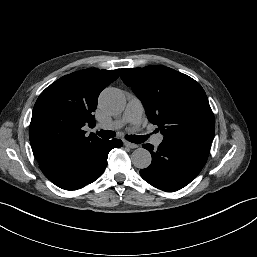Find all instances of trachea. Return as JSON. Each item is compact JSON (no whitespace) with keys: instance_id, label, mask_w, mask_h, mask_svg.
Listing matches in <instances>:
<instances>
[{"instance_id":"1","label":"trachea","mask_w":257,"mask_h":257,"mask_svg":"<svg viewBox=\"0 0 257 257\" xmlns=\"http://www.w3.org/2000/svg\"><path fill=\"white\" fill-rule=\"evenodd\" d=\"M97 134L103 139L113 138L116 135V133L111 130H100ZM125 138L132 143H142L147 139V136L126 135Z\"/></svg>"}]
</instances>
